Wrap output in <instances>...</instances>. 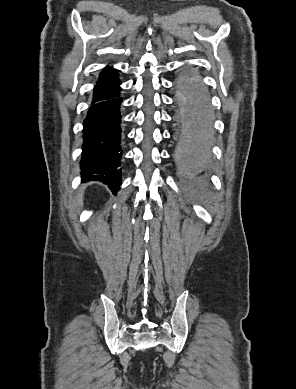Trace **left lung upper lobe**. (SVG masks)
<instances>
[{
    "instance_id": "5c2ea615",
    "label": "left lung upper lobe",
    "mask_w": 296,
    "mask_h": 389,
    "mask_svg": "<svg viewBox=\"0 0 296 389\" xmlns=\"http://www.w3.org/2000/svg\"><path fill=\"white\" fill-rule=\"evenodd\" d=\"M180 85H181V87L184 88V91L187 88H190L194 85H200L203 87L202 82L195 75H186L185 77L182 78ZM182 102L184 104L187 103V98L185 97V93H184V97L182 98ZM182 118L188 123H191L195 120V117H193V115L188 113L187 111L183 113ZM193 136H195V133H189L188 135H186V139L189 137H193Z\"/></svg>"
}]
</instances>
